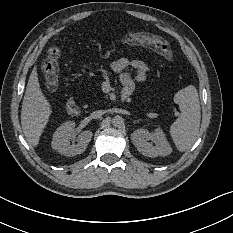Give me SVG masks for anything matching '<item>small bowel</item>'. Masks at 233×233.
<instances>
[{
    "label": "small bowel",
    "mask_w": 233,
    "mask_h": 233,
    "mask_svg": "<svg viewBox=\"0 0 233 233\" xmlns=\"http://www.w3.org/2000/svg\"><path fill=\"white\" fill-rule=\"evenodd\" d=\"M133 71H127L128 68ZM111 69L119 75V81L122 86L121 96L128 99L135 91V83L144 82L147 79L149 66L141 59L129 60L126 57H120L111 63ZM109 87L108 83H104Z\"/></svg>",
    "instance_id": "c3829d8e"
}]
</instances>
